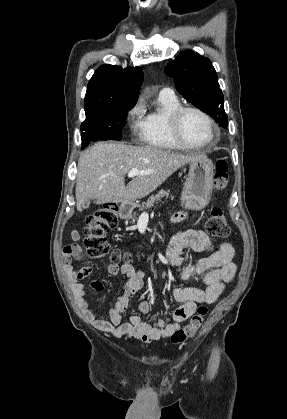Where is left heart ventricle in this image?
Here are the masks:
<instances>
[{"mask_svg":"<svg viewBox=\"0 0 287 419\" xmlns=\"http://www.w3.org/2000/svg\"><path fill=\"white\" fill-rule=\"evenodd\" d=\"M184 139L192 144H203L211 137L210 128L205 119L195 112H186L180 123Z\"/></svg>","mask_w":287,"mask_h":419,"instance_id":"left-heart-ventricle-1","label":"left heart ventricle"}]
</instances>
